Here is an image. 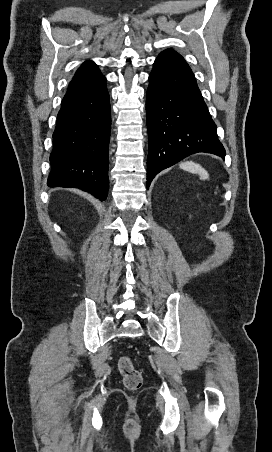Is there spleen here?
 <instances>
[{
	"mask_svg": "<svg viewBox=\"0 0 272 452\" xmlns=\"http://www.w3.org/2000/svg\"><path fill=\"white\" fill-rule=\"evenodd\" d=\"M179 166L181 169L194 173V174H198L199 176H201L204 179L209 178L208 172L202 166H200L199 164H196L192 161L182 162Z\"/></svg>",
	"mask_w": 272,
	"mask_h": 452,
	"instance_id": "3e777b00",
	"label": "spleen"
}]
</instances>
